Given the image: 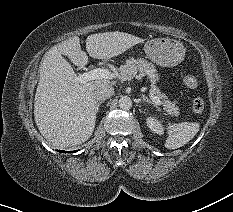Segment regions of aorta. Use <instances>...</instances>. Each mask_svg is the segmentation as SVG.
Listing matches in <instances>:
<instances>
[{"mask_svg":"<svg viewBox=\"0 0 233 212\" xmlns=\"http://www.w3.org/2000/svg\"><path fill=\"white\" fill-rule=\"evenodd\" d=\"M119 107L123 110H129L132 107V100L128 96H122L119 99Z\"/></svg>","mask_w":233,"mask_h":212,"instance_id":"aorta-1","label":"aorta"}]
</instances>
